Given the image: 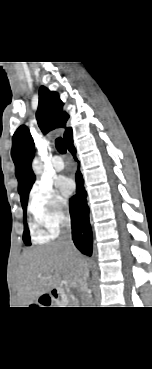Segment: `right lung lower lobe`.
I'll return each instance as SVG.
<instances>
[{
    "mask_svg": "<svg viewBox=\"0 0 152 369\" xmlns=\"http://www.w3.org/2000/svg\"><path fill=\"white\" fill-rule=\"evenodd\" d=\"M68 150L76 159V149L71 140L68 144ZM77 191L70 199V215L72 223V239L76 247L85 255H92V231L89 223V209L87 206V193L83 186V178L78 171L76 173Z\"/></svg>",
    "mask_w": 152,
    "mask_h": 369,
    "instance_id": "1",
    "label": "right lung lower lobe"
}]
</instances>
